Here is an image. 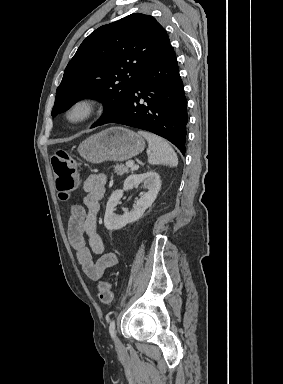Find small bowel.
<instances>
[{
	"instance_id": "1",
	"label": "small bowel",
	"mask_w": 283,
	"mask_h": 384,
	"mask_svg": "<svg viewBox=\"0 0 283 384\" xmlns=\"http://www.w3.org/2000/svg\"><path fill=\"white\" fill-rule=\"evenodd\" d=\"M107 177L104 174H91L83 183L85 196L83 206H72L68 219V237L75 251L77 262L85 275L98 281L104 272L117 263V256L105 252L102 238L97 232V214L105 193ZM87 235V241L84 239ZM93 255H99L95 261Z\"/></svg>"
}]
</instances>
